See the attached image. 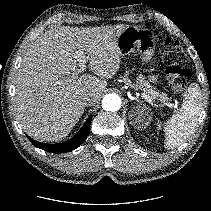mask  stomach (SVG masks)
Listing matches in <instances>:
<instances>
[{
	"label": "stomach",
	"instance_id": "1",
	"mask_svg": "<svg viewBox=\"0 0 211 211\" xmlns=\"http://www.w3.org/2000/svg\"><path fill=\"white\" fill-rule=\"evenodd\" d=\"M156 43L147 29L127 26L117 38V49L121 56L137 51L144 63L151 61L155 53Z\"/></svg>",
	"mask_w": 211,
	"mask_h": 211
}]
</instances>
